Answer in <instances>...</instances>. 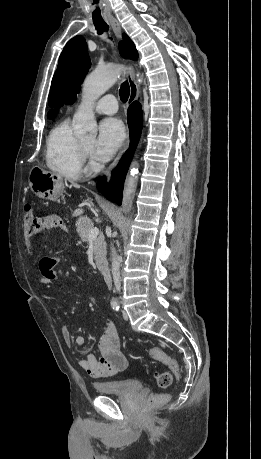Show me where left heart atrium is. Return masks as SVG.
<instances>
[{
  "label": "left heart atrium",
  "mask_w": 261,
  "mask_h": 459,
  "mask_svg": "<svg viewBox=\"0 0 261 459\" xmlns=\"http://www.w3.org/2000/svg\"><path fill=\"white\" fill-rule=\"evenodd\" d=\"M125 139L122 122L116 118L103 120L99 125V133L95 143V156L100 161L110 160Z\"/></svg>",
  "instance_id": "39dd6f15"
}]
</instances>
